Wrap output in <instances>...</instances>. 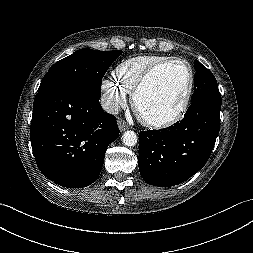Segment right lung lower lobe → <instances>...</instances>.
<instances>
[{
  "label": "right lung lower lobe",
  "mask_w": 253,
  "mask_h": 253,
  "mask_svg": "<svg viewBox=\"0 0 253 253\" xmlns=\"http://www.w3.org/2000/svg\"><path fill=\"white\" fill-rule=\"evenodd\" d=\"M99 97L65 86L38 91L30 139L39 170L56 184L80 188L99 176L108 145L119 136Z\"/></svg>",
  "instance_id": "right-lung-lower-lobe-1"
}]
</instances>
